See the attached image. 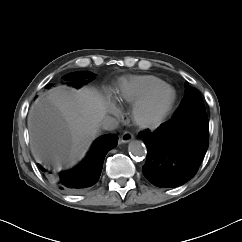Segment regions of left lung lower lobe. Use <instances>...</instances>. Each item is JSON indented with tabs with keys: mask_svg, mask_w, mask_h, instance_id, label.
<instances>
[{
	"mask_svg": "<svg viewBox=\"0 0 242 242\" xmlns=\"http://www.w3.org/2000/svg\"><path fill=\"white\" fill-rule=\"evenodd\" d=\"M168 124L139 137L147 146L144 176L155 186L174 188L197 173L209 145L208 119H192L175 128Z\"/></svg>",
	"mask_w": 242,
	"mask_h": 242,
	"instance_id": "1",
	"label": "left lung lower lobe"
}]
</instances>
